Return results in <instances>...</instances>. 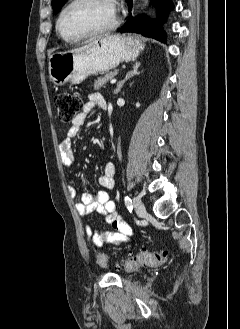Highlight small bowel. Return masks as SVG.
I'll return each mask as SVG.
<instances>
[{
	"instance_id": "1",
	"label": "small bowel",
	"mask_w": 240,
	"mask_h": 329,
	"mask_svg": "<svg viewBox=\"0 0 240 329\" xmlns=\"http://www.w3.org/2000/svg\"><path fill=\"white\" fill-rule=\"evenodd\" d=\"M106 109L107 102L100 93H91L83 110L75 117L71 127L67 131L65 138L59 143V151L62 164L66 168H71L76 162V154L72 147V139L75 138L81 127L85 124L89 114L96 108ZM116 167L108 162L104 165L102 174L98 177V183L104 189H113L115 187ZM71 195L75 196V189L69 187ZM78 214L81 217H87L93 212H97L106 217V222L114 229H94L90 225L85 226V234L90 244L96 247H102L105 244L120 245L130 240L132 235L131 226L117 212L114 201L109 199L105 190L96 193H83L81 201L75 205Z\"/></svg>"
}]
</instances>
